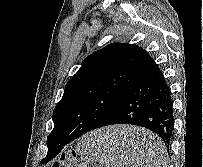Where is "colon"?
<instances>
[{"mask_svg": "<svg viewBox=\"0 0 203 167\" xmlns=\"http://www.w3.org/2000/svg\"><path fill=\"white\" fill-rule=\"evenodd\" d=\"M51 167H98L87 157L78 154L75 150H69L62 154L59 161Z\"/></svg>", "mask_w": 203, "mask_h": 167, "instance_id": "5ec220e1", "label": "colon"}]
</instances>
